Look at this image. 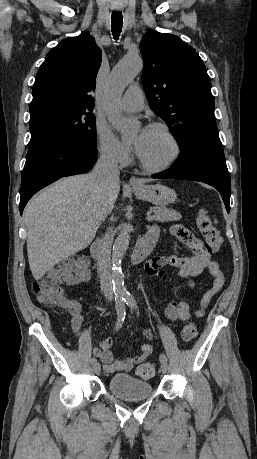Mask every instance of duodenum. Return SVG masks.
<instances>
[{
    "label": "duodenum",
    "instance_id": "410a0bca",
    "mask_svg": "<svg viewBox=\"0 0 257 459\" xmlns=\"http://www.w3.org/2000/svg\"><path fill=\"white\" fill-rule=\"evenodd\" d=\"M158 232L157 231H148L136 244L132 254H131V263L138 264L140 263L151 251L154 242L156 241ZM102 240L97 238L93 244V253L95 256H98L99 250L101 248Z\"/></svg>",
    "mask_w": 257,
    "mask_h": 459
}]
</instances>
